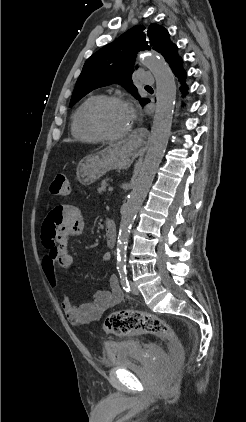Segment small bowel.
Returning <instances> with one entry per match:
<instances>
[{
    "mask_svg": "<svg viewBox=\"0 0 246 422\" xmlns=\"http://www.w3.org/2000/svg\"><path fill=\"white\" fill-rule=\"evenodd\" d=\"M83 228V214L72 204L57 206L45 217L41 229L42 243L46 250L42 266L53 288L59 285L58 268H70L74 265V258L68 252V241L80 234ZM110 258L109 253L103 255L104 261H109ZM123 298L119 281L112 275L109 278V288L98 290L91 301L77 305L67 296H63L61 306L71 322L87 324L100 320L107 310L120 304Z\"/></svg>",
    "mask_w": 246,
    "mask_h": 422,
    "instance_id": "small-bowel-1",
    "label": "small bowel"
}]
</instances>
